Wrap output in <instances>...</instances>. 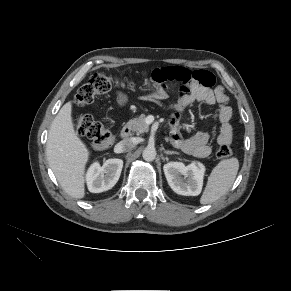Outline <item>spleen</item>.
<instances>
[{"label":"spleen","mask_w":291,"mask_h":291,"mask_svg":"<svg viewBox=\"0 0 291 291\" xmlns=\"http://www.w3.org/2000/svg\"><path fill=\"white\" fill-rule=\"evenodd\" d=\"M239 170V161L233 157L220 161L212 170L200 203L210 204L222 197L234 183Z\"/></svg>","instance_id":"1"}]
</instances>
